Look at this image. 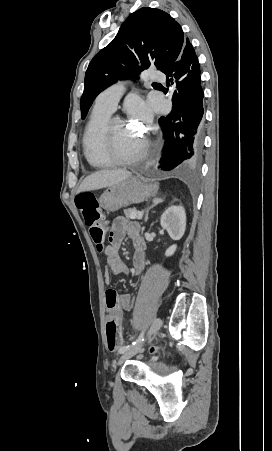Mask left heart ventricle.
<instances>
[{"mask_svg":"<svg viewBox=\"0 0 272 451\" xmlns=\"http://www.w3.org/2000/svg\"><path fill=\"white\" fill-rule=\"evenodd\" d=\"M114 142L121 153H127L137 140L136 134L128 128L124 120H116L112 125Z\"/></svg>","mask_w":272,"mask_h":451,"instance_id":"1","label":"left heart ventricle"}]
</instances>
